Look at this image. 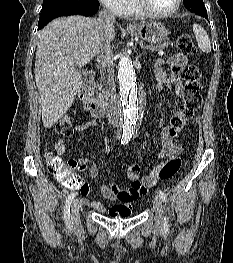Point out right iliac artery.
<instances>
[{
    "mask_svg": "<svg viewBox=\"0 0 233 263\" xmlns=\"http://www.w3.org/2000/svg\"><path fill=\"white\" fill-rule=\"evenodd\" d=\"M132 134L130 132H125L123 133L122 139H121V143L122 144H126L129 142V140L131 139ZM76 196V192H72L66 199L65 202V206H64V220L65 223L68 227L71 226V219H70V206L71 203L74 199V197Z\"/></svg>",
    "mask_w": 233,
    "mask_h": 263,
    "instance_id": "1",
    "label": "right iliac artery"
}]
</instances>
